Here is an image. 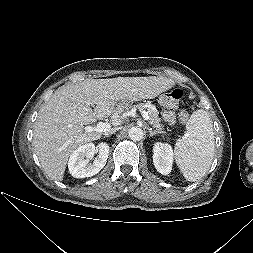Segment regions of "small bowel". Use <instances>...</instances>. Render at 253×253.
I'll return each mask as SVG.
<instances>
[{"instance_id":"small-bowel-1","label":"small bowel","mask_w":253,"mask_h":253,"mask_svg":"<svg viewBox=\"0 0 253 253\" xmlns=\"http://www.w3.org/2000/svg\"><path fill=\"white\" fill-rule=\"evenodd\" d=\"M163 117H164L165 121L167 123H169L170 125L175 124L176 116L173 111H165L163 114Z\"/></svg>"}]
</instances>
